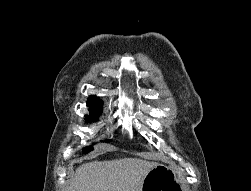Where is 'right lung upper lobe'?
Here are the masks:
<instances>
[{"mask_svg": "<svg viewBox=\"0 0 251 191\" xmlns=\"http://www.w3.org/2000/svg\"><path fill=\"white\" fill-rule=\"evenodd\" d=\"M87 104L90 107V109L102 107V101L99 98H97L96 96H91L88 99Z\"/></svg>", "mask_w": 251, "mask_h": 191, "instance_id": "obj_1", "label": "right lung upper lobe"}]
</instances>
